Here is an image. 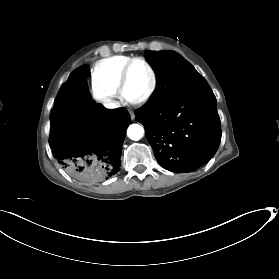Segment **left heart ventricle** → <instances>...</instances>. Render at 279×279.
<instances>
[{
  "label": "left heart ventricle",
  "mask_w": 279,
  "mask_h": 279,
  "mask_svg": "<svg viewBox=\"0 0 279 279\" xmlns=\"http://www.w3.org/2000/svg\"><path fill=\"white\" fill-rule=\"evenodd\" d=\"M151 76L148 69L142 63L132 65L126 84V93L129 98L142 97L150 88Z\"/></svg>",
  "instance_id": "obj_1"
}]
</instances>
